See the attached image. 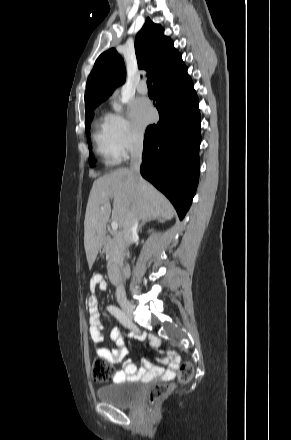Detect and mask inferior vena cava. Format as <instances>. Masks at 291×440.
<instances>
[{
    "mask_svg": "<svg viewBox=\"0 0 291 440\" xmlns=\"http://www.w3.org/2000/svg\"><path fill=\"white\" fill-rule=\"evenodd\" d=\"M143 140L135 142L131 151L130 170L135 175H140V166L142 163ZM138 217L134 208L128 210L123 224V241L126 246L130 245L133 238L137 235ZM116 298L118 302L126 301V293L123 285H119L116 289Z\"/></svg>",
    "mask_w": 291,
    "mask_h": 440,
    "instance_id": "obj_1",
    "label": "inferior vena cava"
}]
</instances>
